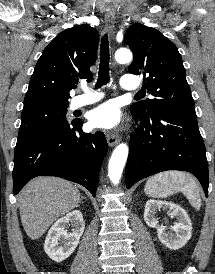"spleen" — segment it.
I'll return each instance as SVG.
<instances>
[{"instance_id":"spleen-1","label":"spleen","mask_w":215,"mask_h":274,"mask_svg":"<svg viewBox=\"0 0 215 274\" xmlns=\"http://www.w3.org/2000/svg\"><path fill=\"white\" fill-rule=\"evenodd\" d=\"M146 193L151 197L163 198L181 191L189 202L199 208L201 198L194 178L183 172H165L151 177L145 185Z\"/></svg>"}]
</instances>
